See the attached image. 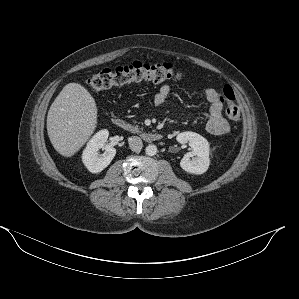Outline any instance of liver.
I'll return each instance as SVG.
<instances>
[{"mask_svg": "<svg viewBox=\"0 0 299 299\" xmlns=\"http://www.w3.org/2000/svg\"><path fill=\"white\" fill-rule=\"evenodd\" d=\"M96 125L97 107L88 90L78 83L64 86L47 115V132L54 149L62 156H73Z\"/></svg>", "mask_w": 299, "mask_h": 299, "instance_id": "1", "label": "liver"}]
</instances>
